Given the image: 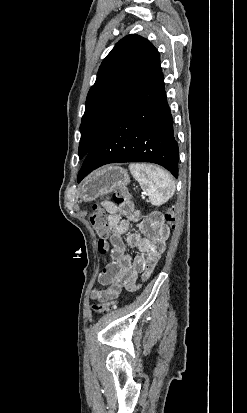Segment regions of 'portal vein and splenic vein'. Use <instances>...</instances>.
Listing matches in <instances>:
<instances>
[{"instance_id":"portal-vein-and-splenic-vein-1","label":"portal vein and splenic vein","mask_w":247,"mask_h":413,"mask_svg":"<svg viewBox=\"0 0 247 413\" xmlns=\"http://www.w3.org/2000/svg\"><path fill=\"white\" fill-rule=\"evenodd\" d=\"M142 194H144V195L141 196V199H142V200H145V199H146V196H147V193H146L145 191H143Z\"/></svg>"}]
</instances>
